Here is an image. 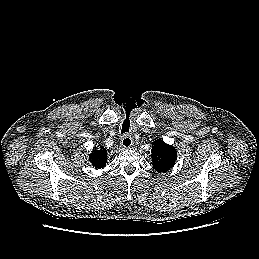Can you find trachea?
Returning a JSON list of instances; mask_svg holds the SVG:
<instances>
[{"mask_svg": "<svg viewBox=\"0 0 259 259\" xmlns=\"http://www.w3.org/2000/svg\"><path fill=\"white\" fill-rule=\"evenodd\" d=\"M129 128H130V122L128 120H125L122 125L121 134L129 132Z\"/></svg>", "mask_w": 259, "mask_h": 259, "instance_id": "1", "label": "trachea"}]
</instances>
